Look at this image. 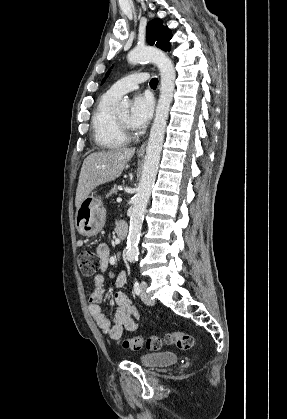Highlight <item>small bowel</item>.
I'll use <instances>...</instances> for the list:
<instances>
[{"instance_id":"obj_1","label":"small bowel","mask_w":287,"mask_h":419,"mask_svg":"<svg viewBox=\"0 0 287 419\" xmlns=\"http://www.w3.org/2000/svg\"><path fill=\"white\" fill-rule=\"evenodd\" d=\"M97 253L101 258V266L102 270L104 271L108 265L109 250L106 245L101 244L97 248ZM126 282L127 274L125 272H120L115 281L116 287L121 288L126 284ZM104 284V275H96L94 278V290L89 298L88 309L91 316L95 320L98 327L103 331V333L108 335L111 339L119 340L122 338L124 330L134 332L138 329L137 320L140 316L136 307L132 304L129 296L124 292H117L115 294L117 309L111 322L104 314L100 305L103 300Z\"/></svg>"}]
</instances>
